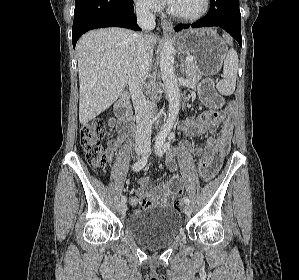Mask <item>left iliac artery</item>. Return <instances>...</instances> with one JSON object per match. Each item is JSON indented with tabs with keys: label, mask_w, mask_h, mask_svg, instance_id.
I'll use <instances>...</instances> for the list:
<instances>
[{
	"label": "left iliac artery",
	"mask_w": 299,
	"mask_h": 280,
	"mask_svg": "<svg viewBox=\"0 0 299 280\" xmlns=\"http://www.w3.org/2000/svg\"><path fill=\"white\" fill-rule=\"evenodd\" d=\"M166 148V144H165V140L164 139H159L156 141V144H155V153L157 156L161 157L163 156V149ZM184 202L186 205H189L190 203V200L188 197H185L184 198Z\"/></svg>",
	"instance_id": "obj_1"
}]
</instances>
